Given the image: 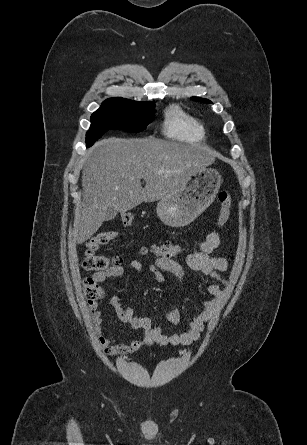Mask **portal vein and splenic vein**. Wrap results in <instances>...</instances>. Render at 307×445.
Masks as SVG:
<instances>
[{
    "label": "portal vein and splenic vein",
    "instance_id": "1",
    "mask_svg": "<svg viewBox=\"0 0 307 445\" xmlns=\"http://www.w3.org/2000/svg\"><path fill=\"white\" fill-rule=\"evenodd\" d=\"M161 172H165V170H157V174H161Z\"/></svg>",
    "mask_w": 307,
    "mask_h": 445
}]
</instances>
